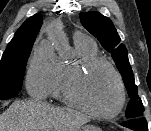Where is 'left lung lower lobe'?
<instances>
[{
    "mask_svg": "<svg viewBox=\"0 0 151 131\" xmlns=\"http://www.w3.org/2000/svg\"><path fill=\"white\" fill-rule=\"evenodd\" d=\"M121 125L135 131H148V125L145 118L132 119L122 123Z\"/></svg>",
    "mask_w": 151,
    "mask_h": 131,
    "instance_id": "obj_1",
    "label": "left lung lower lobe"
}]
</instances>
